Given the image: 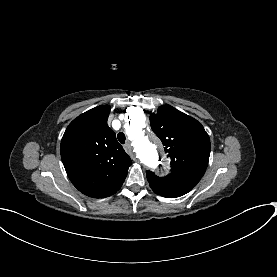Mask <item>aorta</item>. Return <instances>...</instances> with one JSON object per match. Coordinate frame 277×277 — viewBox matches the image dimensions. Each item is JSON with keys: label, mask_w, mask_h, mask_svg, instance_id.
I'll return each mask as SVG.
<instances>
[{"label": "aorta", "mask_w": 277, "mask_h": 277, "mask_svg": "<svg viewBox=\"0 0 277 277\" xmlns=\"http://www.w3.org/2000/svg\"><path fill=\"white\" fill-rule=\"evenodd\" d=\"M145 116L131 114L126 123V133L133 142L135 151L143 164L156 168L159 163L160 142L153 135H145Z\"/></svg>", "instance_id": "aorta-1"}]
</instances>
